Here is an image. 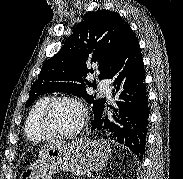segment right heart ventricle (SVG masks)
Wrapping results in <instances>:
<instances>
[{"label":"right heart ventricle","mask_w":183,"mask_h":179,"mask_svg":"<svg viewBox=\"0 0 183 179\" xmlns=\"http://www.w3.org/2000/svg\"><path fill=\"white\" fill-rule=\"evenodd\" d=\"M50 99L49 96H44L38 99L28 115L25 125V134L31 141L39 142L46 139L38 128V117L42 108Z\"/></svg>","instance_id":"1"}]
</instances>
